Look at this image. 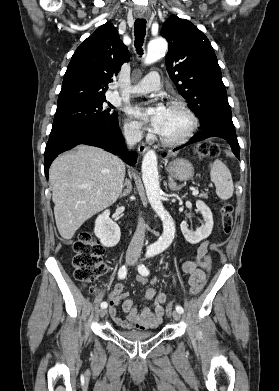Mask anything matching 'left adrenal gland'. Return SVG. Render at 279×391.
Segmentation results:
<instances>
[{"label": "left adrenal gland", "instance_id": "obj_1", "mask_svg": "<svg viewBox=\"0 0 279 391\" xmlns=\"http://www.w3.org/2000/svg\"><path fill=\"white\" fill-rule=\"evenodd\" d=\"M168 179H169V181H168V186H169L170 190H172V191H178V190H180V186H178V185L174 182V180H173L172 177H169Z\"/></svg>", "mask_w": 279, "mask_h": 391}]
</instances>
